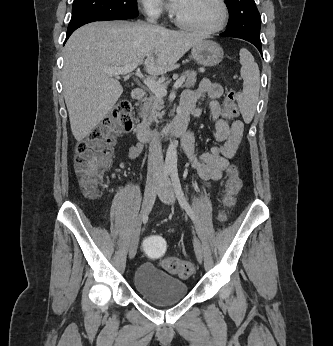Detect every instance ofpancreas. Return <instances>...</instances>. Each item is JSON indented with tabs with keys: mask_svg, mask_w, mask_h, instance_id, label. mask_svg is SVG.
<instances>
[{
	"mask_svg": "<svg viewBox=\"0 0 333 346\" xmlns=\"http://www.w3.org/2000/svg\"><path fill=\"white\" fill-rule=\"evenodd\" d=\"M196 76L197 74L195 71H186L183 75V77L185 78L183 87H193L196 83ZM166 84L167 83H165L164 86H166ZM163 108L164 106L162 97L152 95L147 98L140 108L143 123L146 125H150L153 121L157 122V118H161L164 114V112L162 111Z\"/></svg>",
	"mask_w": 333,
	"mask_h": 346,
	"instance_id": "cf45deb5",
	"label": "pancreas"
}]
</instances>
